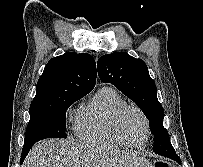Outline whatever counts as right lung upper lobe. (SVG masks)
Masks as SVG:
<instances>
[{
  "instance_id": "obj_1",
  "label": "right lung upper lobe",
  "mask_w": 203,
  "mask_h": 167,
  "mask_svg": "<svg viewBox=\"0 0 203 167\" xmlns=\"http://www.w3.org/2000/svg\"><path fill=\"white\" fill-rule=\"evenodd\" d=\"M96 64L87 53H65L52 58L40 76L30 106L47 105L70 97H83L95 86Z\"/></svg>"
}]
</instances>
